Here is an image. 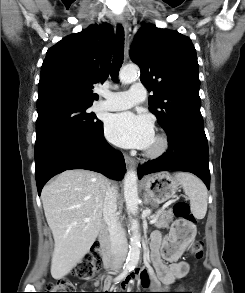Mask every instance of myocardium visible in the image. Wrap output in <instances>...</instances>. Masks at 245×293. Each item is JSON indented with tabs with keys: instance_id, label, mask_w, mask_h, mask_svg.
<instances>
[{
	"instance_id": "obj_1",
	"label": "myocardium",
	"mask_w": 245,
	"mask_h": 293,
	"mask_svg": "<svg viewBox=\"0 0 245 293\" xmlns=\"http://www.w3.org/2000/svg\"><path fill=\"white\" fill-rule=\"evenodd\" d=\"M155 146L149 147L145 154L149 157H159L163 155L169 148V139L165 134H157L154 137Z\"/></svg>"
}]
</instances>
